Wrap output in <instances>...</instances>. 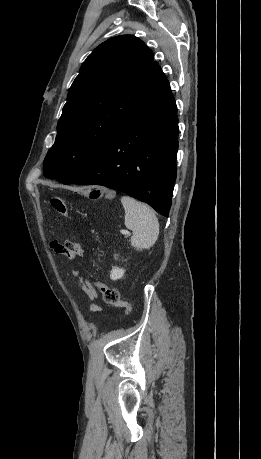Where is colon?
<instances>
[{"mask_svg":"<svg viewBox=\"0 0 261 459\" xmlns=\"http://www.w3.org/2000/svg\"><path fill=\"white\" fill-rule=\"evenodd\" d=\"M75 197H89L90 199H99L102 197L111 198L110 194L104 193L102 190L97 188H75L74 189ZM53 208L64 217L68 216V207L66 201L58 196H54L50 200ZM94 285L101 292L103 300L106 304L124 308L127 313L132 311V304L120 299V294L117 289L107 286L104 283L95 281Z\"/></svg>","mask_w":261,"mask_h":459,"instance_id":"colon-1","label":"colon"}]
</instances>
